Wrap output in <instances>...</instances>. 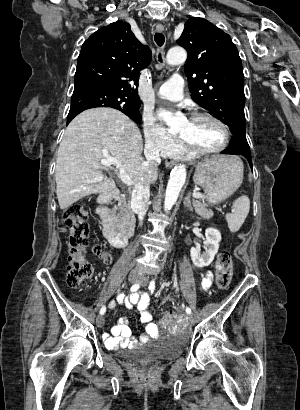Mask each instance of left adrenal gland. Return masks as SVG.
<instances>
[{
	"mask_svg": "<svg viewBox=\"0 0 300 410\" xmlns=\"http://www.w3.org/2000/svg\"><path fill=\"white\" fill-rule=\"evenodd\" d=\"M190 197H191V192H189V193L186 195L183 204H184V206L187 207L190 211H193V206H192Z\"/></svg>",
	"mask_w": 300,
	"mask_h": 410,
	"instance_id": "obj_1",
	"label": "left adrenal gland"
}]
</instances>
